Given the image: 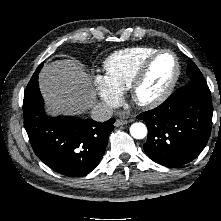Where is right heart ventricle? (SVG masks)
<instances>
[{
    "instance_id": "e07e8e85",
    "label": "right heart ventricle",
    "mask_w": 221,
    "mask_h": 221,
    "mask_svg": "<svg viewBox=\"0 0 221 221\" xmlns=\"http://www.w3.org/2000/svg\"><path fill=\"white\" fill-rule=\"evenodd\" d=\"M156 51L152 47H131L115 51L103 63L105 76L120 92L127 90L142 63Z\"/></svg>"
}]
</instances>
